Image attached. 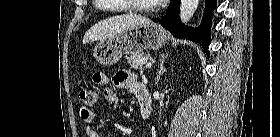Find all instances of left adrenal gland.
Masks as SVG:
<instances>
[{"label":"left adrenal gland","mask_w":280,"mask_h":137,"mask_svg":"<svg viewBox=\"0 0 280 137\" xmlns=\"http://www.w3.org/2000/svg\"><path fill=\"white\" fill-rule=\"evenodd\" d=\"M165 59H166V56L163 55L162 59H161L160 68H159V70L157 72V77H156V82H155L156 84L158 83V81H159L161 75L163 74V72L166 70L165 67H164Z\"/></svg>","instance_id":"obj_1"}]
</instances>
